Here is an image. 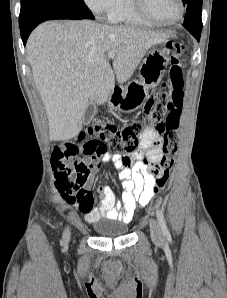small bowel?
I'll list each match as a JSON object with an SVG mask.
<instances>
[{"instance_id": "small-bowel-1", "label": "small bowel", "mask_w": 227, "mask_h": 298, "mask_svg": "<svg viewBox=\"0 0 227 298\" xmlns=\"http://www.w3.org/2000/svg\"><path fill=\"white\" fill-rule=\"evenodd\" d=\"M159 87H166V82H159ZM146 103H157V98H146ZM153 108V104H141L143 115H150ZM162 130H166V125L147 129L141 136L139 149L133 153L119 150L118 154H110L107 150L110 142H82L81 139L62 142L50 154L57 188L61 191L82 177L83 182L76 189L79 197L73 204H77L86 222L93 223L100 219L131 221L137 209L153 197L150 187L162 172L159 166ZM84 138L90 139L91 135L85 134ZM107 161H111L118 172L123 188L121 198L117 199L110 187H104L100 191L98 205L93 206L91 188L95 175L101 163Z\"/></svg>"}]
</instances>
